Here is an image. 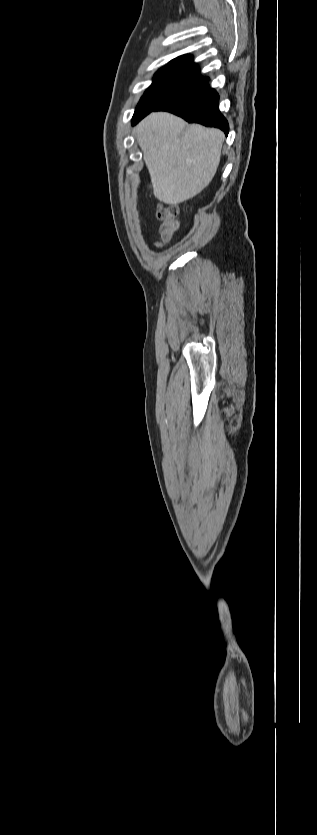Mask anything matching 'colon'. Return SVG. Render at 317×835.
<instances>
[{"label": "colon", "instance_id": "1", "mask_svg": "<svg viewBox=\"0 0 317 835\" xmlns=\"http://www.w3.org/2000/svg\"><path fill=\"white\" fill-rule=\"evenodd\" d=\"M178 207L170 203H161L157 207V218L161 221L163 237L172 236L178 229Z\"/></svg>", "mask_w": 317, "mask_h": 835}]
</instances>
